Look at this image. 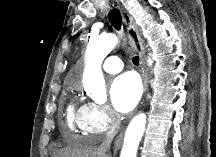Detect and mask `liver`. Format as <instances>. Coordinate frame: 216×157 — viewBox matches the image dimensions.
<instances>
[{
    "mask_svg": "<svg viewBox=\"0 0 216 157\" xmlns=\"http://www.w3.org/2000/svg\"><path fill=\"white\" fill-rule=\"evenodd\" d=\"M57 157H102L98 149L76 146L61 150Z\"/></svg>",
    "mask_w": 216,
    "mask_h": 157,
    "instance_id": "1",
    "label": "liver"
}]
</instances>
